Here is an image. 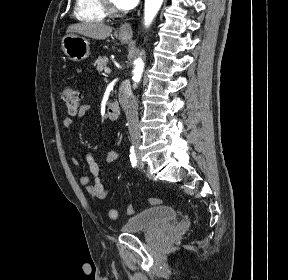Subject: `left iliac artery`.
<instances>
[{"label": "left iliac artery", "mask_w": 288, "mask_h": 280, "mask_svg": "<svg viewBox=\"0 0 288 280\" xmlns=\"http://www.w3.org/2000/svg\"><path fill=\"white\" fill-rule=\"evenodd\" d=\"M132 152H134V147L132 146L130 149V162L133 167L137 166V159L136 157H132Z\"/></svg>", "instance_id": "left-iliac-artery-1"}]
</instances>
